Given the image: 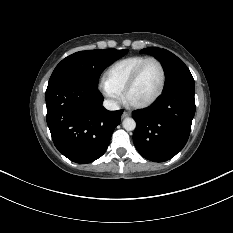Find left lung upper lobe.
I'll return each mask as SVG.
<instances>
[{"instance_id":"obj_1","label":"left lung upper lobe","mask_w":233,"mask_h":233,"mask_svg":"<svg viewBox=\"0 0 233 233\" xmlns=\"http://www.w3.org/2000/svg\"><path fill=\"white\" fill-rule=\"evenodd\" d=\"M141 52L153 55L163 65L166 72L164 91L181 86L194 87V79L188 67L173 53L156 47L145 48Z\"/></svg>"}]
</instances>
